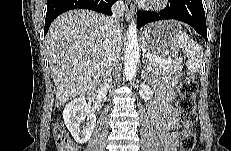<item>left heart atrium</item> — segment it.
<instances>
[{
    "instance_id": "obj_1",
    "label": "left heart atrium",
    "mask_w": 231,
    "mask_h": 151,
    "mask_svg": "<svg viewBox=\"0 0 231 151\" xmlns=\"http://www.w3.org/2000/svg\"><path fill=\"white\" fill-rule=\"evenodd\" d=\"M140 2H144V0H140Z\"/></svg>"
}]
</instances>
